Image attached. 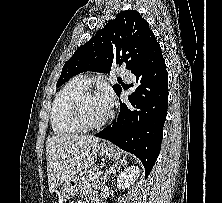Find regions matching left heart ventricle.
<instances>
[{
    "label": "left heart ventricle",
    "mask_w": 222,
    "mask_h": 203,
    "mask_svg": "<svg viewBox=\"0 0 222 203\" xmlns=\"http://www.w3.org/2000/svg\"><path fill=\"white\" fill-rule=\"evenodd\" d=\"M83 109L86 119L91 123L101 121L110 112L103 104L99 96L87 98L85 100Z\"/></svg>",
    "instance_id": "1"
}]
</instances>
